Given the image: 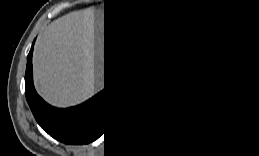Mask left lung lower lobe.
Wrapping results in <instances>:
<instances>
[{
	"label": "left lung lower lobe",
	"mask_w": 259,
	"mask_h": 156,
	"mask_svg": "<svg viewBox=\"0 0 259 156\" xmlns=\"http://www.w3.org/2000/svg\"><path fill=\"white\" fill-rule=\"evenodd\" d=\"M142 104L147 123L160 137L175 141L205 124L197 114L213 109L214 104L203 90L188 88L184 79L177 80L170 70L164 78L152 76L142 80Z\"/></svg>",
	"instance_id": "0a47b994"
}]
</instances>
